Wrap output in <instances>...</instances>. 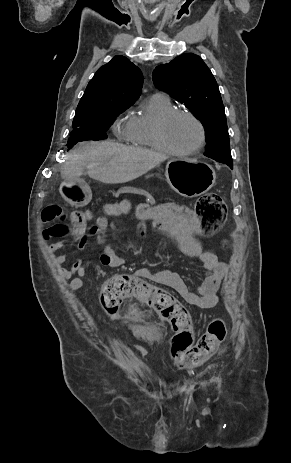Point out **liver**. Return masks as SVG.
<instances>
[{
  "instance_id": "1",
  "label": "liver",
  "mask_w": 291,
  "mask_h": 463,
  "mask_svg": "<svg viewBox=\"0 0 291 463\" xmlns=\"http://www.w3.org/2000/svg\"><path fill=\"white\" fill-rule=\"evenodd\" d=\"M167 156L152 150L128 147L113 141L82 143L71 152L61 170L68 181H79L87 174L107 184L134 180L165 161Z\"/></svg>"
}]
</instances>
